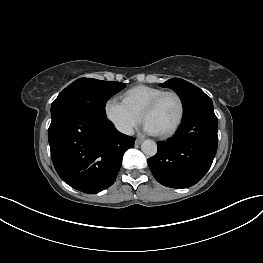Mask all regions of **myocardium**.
<instances>
[{"mask_svg": "<svg viewBox=\"0 0 263 263\" xmlns=\"http://www.w3.org/2000/svg\"><path fill=\"white\" fill-rule=\"evenodd\" d=\"M167 95H174L178 99L179 105H180V113H179L178 119H177L176 123L173 125V127L170 130L159 134V136L161 138H169V137L173 136L178 131V129L180 128V126H181V124H182V122L184 120V116H185V102H184V99L181 96V94L178 93L177 91H174V90L163 91L162 93L157 95L155 98H153L147 104V106L144 108V110L142 112V115H141L143 121L146 122L147 115L150 112H152L158 106V104L161 102V100Z\"/></svg>", "mask_w": 263, "mask_h": 263, "instance_id": "myocardium-1", "label": "myocardium"}]
</instances>
